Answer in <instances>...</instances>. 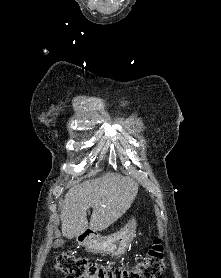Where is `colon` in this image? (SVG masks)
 I'll use <instances>...</instances> for the list:
<instances>
[{"label": "colon", "instance_id": "colon-1", "mask_svg": "<svg viewBox=\"0 0 221 278\" xmlns=\"http://www.w3.org/2000/svg\"><path fill=\"white\" fill-rule=\"evenodd\" d=\"M164 268V250L159 241L153 243L143 261L131 268L112 270L70 253L56 259V269L70 275L67 278H161Z\"/></svg>", "mask_w": 221, "mask_h": 278}]
</instances>
